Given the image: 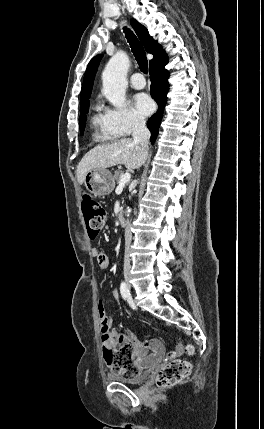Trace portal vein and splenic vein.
Masks as SVG:
<instances>
[{
  "mask_svg": "<svg viewBox=\"0 0 264 429\" xmlns=\"http://www.w3.org/2000/svg\"><path fill=\"white\" fill-rule=\"evenodd\" d=\"M130 178H131V174L129 172L124 173L120 177L119 186L123 187L126 183L130 181Z\"/></svg>",
  "mask_w": 264,
  "mask_h": 429,
  "instance_id": "portal-vein-and-splenic-vein-1",
  "label": "portal vein and splenic vein"
}]
</instances>
